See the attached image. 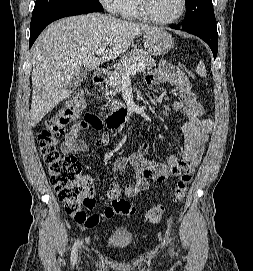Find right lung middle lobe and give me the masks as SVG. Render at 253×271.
I'll list each match as a JSON object with an SVG mask.
<instances>
[{
    "instance_id": "right-lung-middle-lobe-1",
    "label": "right lung middle lobe",
    "mask_w": 253,
    "mask_h": 271,
    "mask_svg": "<svg viewBox=\"0 0 253 271\" xmlns=\"http://www.w3.org/2000/svg\"><path fill=\"white\" fill-rule=\"evenodd\" d=\"M67 10L101 12L103 7L98 0H36L30 27L45 17Z\"/></svg>"
}]
</instances>
